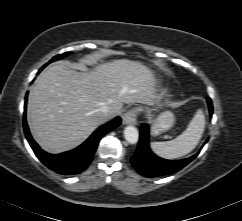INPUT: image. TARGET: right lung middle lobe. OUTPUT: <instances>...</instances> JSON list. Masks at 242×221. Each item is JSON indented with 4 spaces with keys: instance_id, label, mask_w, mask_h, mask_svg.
<instances>
[{
    "instance_id": "obj_1",
    "label": "right lung middle lobe",
    "mask_w": 242,
    "mask_h": 221,
    "mask_svg": "<svg viewBox=\"0 0 242 221\" xmlns=\"http://www.w3.org/2000/svg\"><path fill=\"white\" fill-rule=\"evenodd\" d=\"M68 53H64L62 55H57L56 57H54L51 61H54V60H57V59H61L63 58L64 56H66ZM46 66V65H45Z\"/></svg>"
}]
</instances>
